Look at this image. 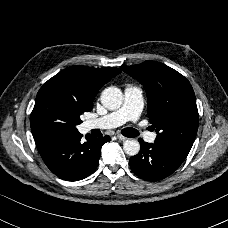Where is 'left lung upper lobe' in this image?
<instances>
[{
  "mask_svg": "<svg viewBox=\"0 0 228 228\" xmlns=\"http://www.w3.org/2000/svg\"><path fill=\"white\" fill-rule=\"evenodd\" d=\"M137 79L147 93L148 116L156 130V142L190 151L199 116L189 81L176 70L156 61L121 67Z\"/></svg>",
  "mask_w": 228,
  "mask_h": 228,
  "instance_id": "1",
  "label": "left lung upper lobe"
}]
</instances>
